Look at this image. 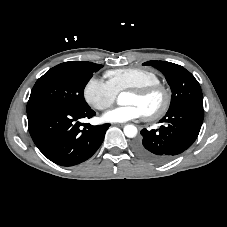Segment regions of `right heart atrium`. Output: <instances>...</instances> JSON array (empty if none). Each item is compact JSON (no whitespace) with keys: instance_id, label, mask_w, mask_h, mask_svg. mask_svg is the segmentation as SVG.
I'll list each match as a JSON object with an SVG mask.
<instances>
[{"instance_id":"d8ad5b80","label":"right heart atrium","mask_w":227,"mask_h":227,"mask_svg":"<svg viewBox=\"0 0 227 227\" xmlns=\"http://www.w3.org/2000/svg\"><path fill=\"white\" fill-rule=\"evenodd\" d=\"M83 96L85 101L94 109L105 110L114 103L117 94L107 82L92 77L84 86Z\"/></svg>"}]
</instances>
